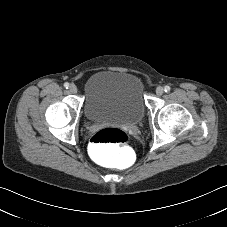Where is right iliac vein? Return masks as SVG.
<instances>
[{
    "label": "right iliac vein",
    "mask_w": 227,
    "mask_h": 227,
    "mask_svg": "<svg viewBox=\"0 0 227 227\" xmlns=\"http://www.w3.org/2000/svg\"><path fill=\"white\" fill-rule=\"evenodd\" d=\"M69 91L73 94L77 93V91H78L77 86L75 84H71L69 86Z\"/></svg>",
    "instance_id": "obj_1"
}]
</instances>
